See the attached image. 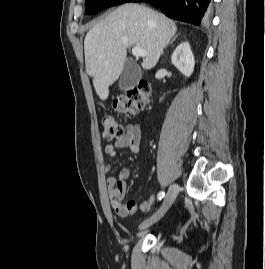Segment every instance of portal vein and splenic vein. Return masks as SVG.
<instances>
[{"instance_id": "1", "label": "portal vein and splenic vein", "mask_w": 265, "mask_h": 269, "mask_svg": "<svg viewBox=\"0 0 265 269\" xmlns=\"http://www.w3.org/2000/svg\"><path fill=\"white\" fill-rule=\"evenodd\" d=\"M132 54L135 57H146L147 56V52L140 47H133Z\"/></svg>"}]
</instances>
